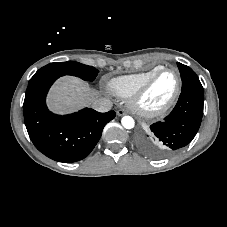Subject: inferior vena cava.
<instances>
[{
    "mask_svg": "<svg viewBox=\"0 0 227 227\" xmlns=\"http://www.w3.org/2000/svg\"><path fill=\"white\" fill-rule=\"evenodd\" d=\"M92 107L98 112H108L112 107V102L107 98H99L93 102Z\"/></svg>",
    "mask_w": 227,
    "mask_h": 227,
    "instance_id": "inferior-vena-cava-1",
    "label": "inferior vena cava"
}]
</instances>
